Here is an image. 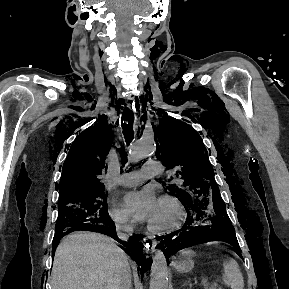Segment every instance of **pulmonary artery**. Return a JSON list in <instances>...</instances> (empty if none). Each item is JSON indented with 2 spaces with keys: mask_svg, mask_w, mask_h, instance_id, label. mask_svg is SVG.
Here are the masks:
<instances>
[{
  "mask_svg": "<svg viewBox=\"0 0 289 289\" xmlns=\"http://www.w3.org/2000/svg\"><path fill=\"white\" fill-rule=\"evenodd\" d=\"M163 172V166L158 161H147L140 170L130 171L122 174L118 183L122 186L134 187L149 178L160 175Z\"/></svg>",
  "mask_w": 289,
  "mask_h": 289,
  "instance_id": "pulmonary-artery-1",
  "label": "pulmonary artery"
}]
</instances>
